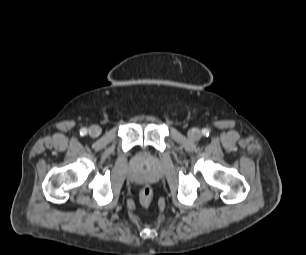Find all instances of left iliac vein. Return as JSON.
Wrapping results in <instances>:
<instances>
[{
	"label": "left iliac vein",
	"instance_id": "4c4485c4",
	"mask_svg": "<svg viewBox=\"0 0 306 255\" xmlns=\"http://www.w3.org/2000/svg\"><path fill=\"white\" fill-rule=\"evenodd\" d=\"M202 134L198 129H191L188 132V137L191 140H199L201 138Z\"/></svg>",
	"mask_w": 306,
	"mask_h": 255
}]
</instances>
